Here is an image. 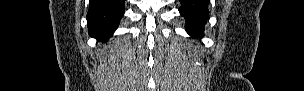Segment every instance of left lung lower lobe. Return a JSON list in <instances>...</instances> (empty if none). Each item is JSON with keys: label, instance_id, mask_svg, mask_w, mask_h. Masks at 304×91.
I'll list each match as a JSON object with an SVG mask.
<instances>
[{"label": "left lung lower lobe", "instance_id": "obj_1", "mask_svg": "<svg viewBox=\"0 0 304 91\" xmlns=\"http://www.w3.org/2000/svg\"><path fill=\"white\" fill-rule=\"evenodd\" d=\"M179 12L186 19V31L193 38H202L208 20L209 0H180Z\"/></svg>", "mask_w": 304, "mask_h": 91}]
</instances>
